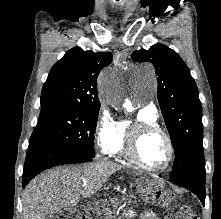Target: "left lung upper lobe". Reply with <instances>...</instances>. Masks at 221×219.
<instances>
[{
    "instance_id": "left-lung-upper-lobe-1",
    "label": "left lung upper lobe",
    "mask_w": 221,
    "mask_h": 219,
    "mask_svg": "<svg viewBox=\"0 0 221 219\" xmlns=\"http://www.w3.org/2000/svg\"><path fill=\"white\" fill-rule=\"evenodd\" d=\"M131 58L151 62L158 76L157 97L175 152L171 179L205 172L202 106L188 67L163 44L134 51Z\"/></svg>"
}]
</instances>
